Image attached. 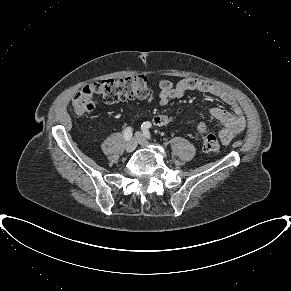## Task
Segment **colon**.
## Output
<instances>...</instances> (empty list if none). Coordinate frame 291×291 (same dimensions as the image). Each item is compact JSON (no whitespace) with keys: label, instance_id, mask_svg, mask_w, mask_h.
<instances>
[{"label":"colon","instance_id":"colon-1","mask_svg":"<svg viewBox=\"0 0 291 291\" xmlns=\"http://www.w3.org/2000/svg\"><path fill=\"white\" fill-rule=\"evenodd\" d=\"M151 92L150 81L146 76L104 80L87 85L77 92L72 98V109L77 115L83 116L95 108L97 100L112 104L132 99H145ZM181 112L182 110L178 109L177 113ZM173 119V115L160 114L154 117V123L164 126ZM196 130L202 136L204 151L214 153L220 151L219 138L213 133H207L203 123H198Z\"/></svg>","mask_w":291,"mask_h":291}]
</instances>
